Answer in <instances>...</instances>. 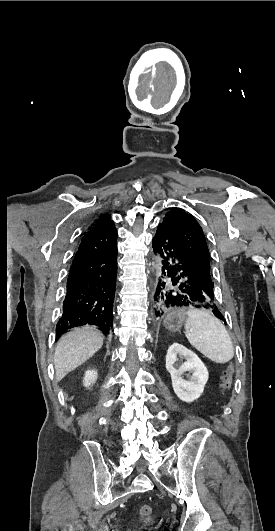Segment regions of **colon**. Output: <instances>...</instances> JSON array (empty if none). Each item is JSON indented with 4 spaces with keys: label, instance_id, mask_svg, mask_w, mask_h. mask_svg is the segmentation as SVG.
Here are the masks:
<instances>
[{
    "label": "colon",
    "instance_id": "5ec220e1",
    "mask_svg": "<svg viewBox=\"0 0 275 531\" xmlns=\"http://www.w3.org/2000/svg\"><path fill=\"white\" fill-rule=\"evenodd\" d=\"M233 375V366H228L224 372L221 383V390L223 393H227L231 387ZM138 516L141 519H148L152 516V508L149 505H142L137 510Z\"/></svg>",
    "mask_w": 275,
    "mask_h": 531
}]
</instances>
